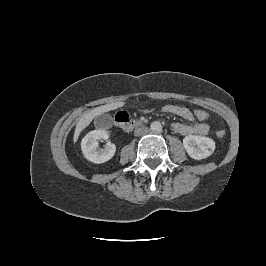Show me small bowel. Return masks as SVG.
I'll use <instances>...</instances> for the list:
<instances>
[{
    "label": "small bowel",
    "instance_id": "small-bowel-1",
    "mask_svg": "<svg viewBox=\"0 0 266 266\" xmlns=\"http://www.w3.org/2000/svg\"><path fill=\"white\" fill-rule=\"evenodd\" d=\"M162 111L167 114H172L183 118L189 124L176 122L172 125L173 130L181 135H205L209 131V126L206 123L198 122L193 113L186 107L178 105H166Z\"/></svg>",
    "mask_w": 266,
    "mask_h": 266
}]
</instances>
